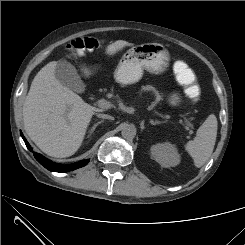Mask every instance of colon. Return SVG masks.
Here are the masks:
<instances>
[{"instance_id":"obj_1","label":"colon","mask_w":245,"mask_h":245,"mask_svg":"<svg viewBox=\"0 0 245 245\" xmlns=\"http://www.w3.org/2000/svg\"><path fill=\"white\" fill-rule=\"evenodd\" d=\"M99 47V41L92 37H84L73 41L70 45V50L73 55L80 56L84 52L92 51ZM183 85L185 95L189 99H197L200 96L201 89L200 86L193 81H181Z\"/></svg>"}]
</instances>
